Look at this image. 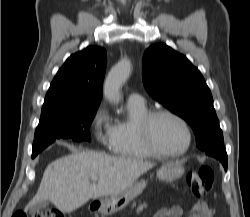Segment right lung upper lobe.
<instances>
[{
    "label": "right lung upper lobe",
    "instance_id": "right-lung-upper-lobe-1",
    "mask_svg": "<svg viewBox=\"0 0 250 217\" xmlns=\"http://www.w3.org/2000/svg\"><path fill=\"white\" fill-rule=\"evenodd\" d=\"M106 63V50L101 47H87L71 55L50 85L41 116L98 108Z\"/></svg>",
    "mask_w": 250,
    "mask_h": 217
}]
</instances>
